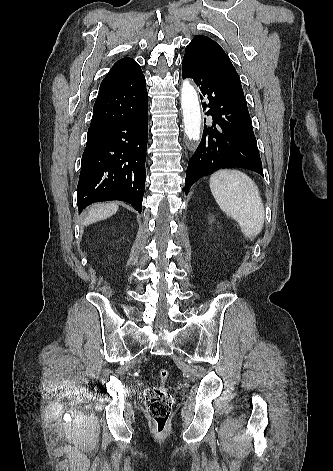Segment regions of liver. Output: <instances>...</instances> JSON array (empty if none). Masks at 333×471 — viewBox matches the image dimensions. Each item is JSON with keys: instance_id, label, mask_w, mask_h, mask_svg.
Returning <instances> with one entry per match:
<instances>
[{"instance_id": "6515ba94", "label": "liver", "mask_w": 333, "mask_h": 471, "mask_svg": "<svg viewBox=\"0 0 333 471\" xmlns=\"http://www.w3.org/2000/svg\"><path fill=\"white\" fill-rule=\"evenodd\" d=\"M116 203H98L90 207L83 225L87 226L97 221L105 220L114 215L118 210Z\"/></svg>"}]
</instances>
